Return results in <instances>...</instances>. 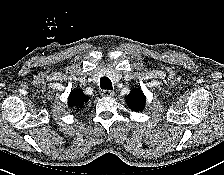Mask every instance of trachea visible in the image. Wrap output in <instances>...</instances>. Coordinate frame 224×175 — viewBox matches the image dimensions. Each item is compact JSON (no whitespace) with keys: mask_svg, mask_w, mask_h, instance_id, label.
Segmentation results:
<instances>
[{"mask_svg":"<svg viewBox=\"0 0 224 175\" xmlns=\"http://www.w3.org/2000/svg\"><path fill=\"white\" fill-rule=\"evenodd\" d=\"M100 86L103 89L112 90V82L108 77H102L100 79Z\"/></svg>","mask_w":224,"mask_h":175,"instance_id":"1","label":"trachea"}]
</instances>
